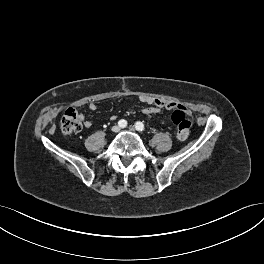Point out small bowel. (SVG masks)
<instances>
[{
    "label": "small bowel",
    "mask_w": 264,
    "mask_h": 264,
    "mask_svg": "<svg viewBox=\"0 0 264 264\" xmlns=\"http://www.w3.org/2000/svg\"><path fill=\"white\" fill-rule=\"evenodd\" d=\"M141 101L145 104H147L148 106L145 107L143 109V113L146 115H152V114H157L160 112V110L162 108H165L167 110H171L173 108L178 107L179 105H177L175 102L172 101H165V100H159V99H153L150 97H143L141 98ZM89 109L91 111H95L97 109V106L95 103H90L88 105ZM115 116L112 117V119H114ZM80 119L82 121H84V126L86 128H90L91 127V122L89 120H86L84 115H80Z\"/></svg>",
    "instance_id": "small-bowel-1"
}]
</instances>
